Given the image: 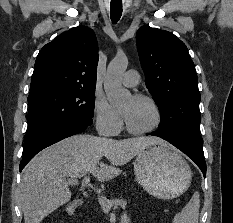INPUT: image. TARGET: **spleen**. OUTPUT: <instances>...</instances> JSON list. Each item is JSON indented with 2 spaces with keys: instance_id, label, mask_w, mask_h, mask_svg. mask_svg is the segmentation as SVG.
Listing matches in <instances>:
<instances>
[{
  "instance_id": "spleen-1",
  "label": "spleen",
  "mask_w": 233,
  "mask_h": 223,
  "mask_svg": "<svg viewBox=\"0 0 233 223\" xmlns=\"http://www.w3.org/2000/svg\"><path fill=\"white\" fill-rule=\"evenodd\" d=\"M200 209V193L195 191L181 213L176 215V223H198Z\"/></svg>"
}]
</instances>
